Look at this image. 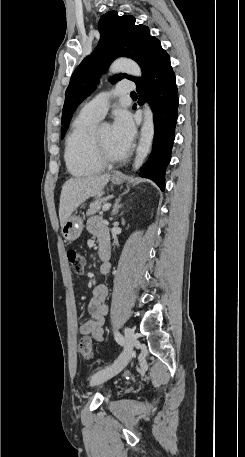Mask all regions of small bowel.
I'll return each instance as SVG.
<instances>
[{
    "label": "small bowel",
    "instance_id": "1",
    "mask_svg": "<svg viewBox=\"0 0 245 457\" xmlns=\"http://www.w3.org/2000/svg\"><path fill=\"white\" fill-rule=\"evenodd\" d=\"M89 232L97 239L99 250L105 248L110 252V239L108 229L105 223L98 217H92L87 223ZM102 275H107L111 271L109 264L102 265ZM108 295V289L104 284L97 285L88 303V318L84 319L80 326L79 332L84 336H90L96 341H102L104 338L103 324L108 307L105 303Z\"/></svg>",
    "mask_w": 245,
    "mask_h": 457
}]
</instances>
